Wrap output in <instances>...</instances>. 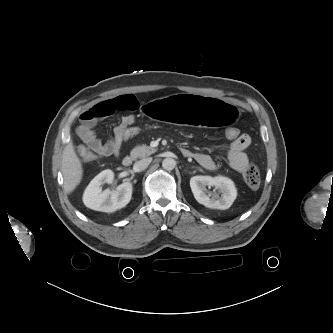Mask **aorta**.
Segmentation results:
<instances>
[{
    "mask_svg": "<svg viewBox=\"0 0 333 333\" xmlns=\"http://www.w3.org/2000/svg\"><path fill=\"white\" fill-rule=\"evenodd\" d=\"M175 160L172 159V158H165L163 161H162V167L163 169L165 170H168V171H171L174 169L175 167Z\"/></svg>",
    "mask_w": 333,
    "mask_h": 333,
    "instance_id": "obj_1",
    "label": "aorta"
}]
</instances>
